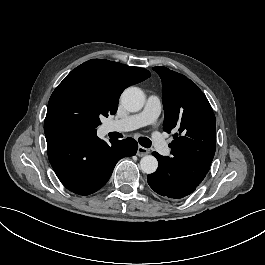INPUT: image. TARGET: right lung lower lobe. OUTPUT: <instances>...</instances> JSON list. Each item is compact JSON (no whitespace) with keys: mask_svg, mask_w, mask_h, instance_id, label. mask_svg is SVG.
Here are the masks:
<instances>
[{"mask_svg":"<svg viewBox=\"0 0 265 265\" xmlns=\"http://www.w3.org/2000/svg\"><path fill=\"white\" fill-rule=\"evenodd\" d=\"M49 161L61 181L71 192L89 195L103 187L123 157L138 149L132 138L110 140L111 144L87 132L62 124H44Z\"/></svg>","mask_w":265,"mask_h":265,"instance_id":"98d812e1","label":"right lung lower lobe"}]
</instances>
